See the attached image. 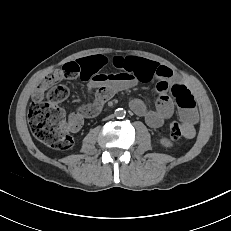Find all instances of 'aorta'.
I'll return each mask as SVG.
<instances>
[{
	"label": "aorta",
	"instance_id": "1",
	"mask_svg": "<svg viewBox=\"0 0 231 231\" xmlns=\"http://www.w3.org/2000/svg\"><path fill=\"white\" fill-rule=\"evenodd\" d=\"M125 115V111L122 109V108H118L116 111H115V116L117 118H122L124 117Z\"/></svg>",
	"mask_w": 231,
	"mask_h": 231
}]
</instances>
